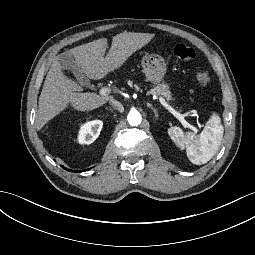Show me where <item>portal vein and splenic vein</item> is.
<instances>
[{"label":"portal vein and splenic vein","instance_id":"portal-vein-and-splenic-vein-1","mask_svg":"<svg viewBox=\"0 0 255 255\" xmlns=\"http://www.w3.org/2000/svg\"><path fill=\"white\" fill-rule=\"evenodd\" d=\"M109 93V89L106 87H103L99 91L100 96H106ZM161 104L168 110L170 113H172L175 117L179 118L180 121L182 122L184 129H187L190 127V124L184 119V117L177 112L176 110L173 109L172 106H170L163 98H160Z\"/></svg>","mask_w":255,"mask_h":255}]
</instances>
